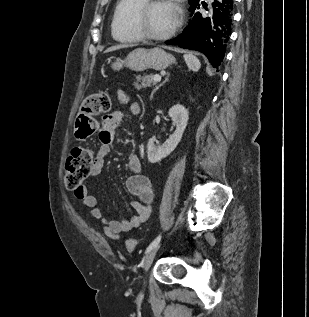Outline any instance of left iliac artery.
I'll use <instances>...</instances> for the list:
<instances>
[{
  "label": "left iliac artery",
  "mask_w": 309,
  "mask_h": 317,
  "mask_svg": "<svg viewBox=\"0 0 309 317\" xmlns=\"http://www.w3.org/2000/svg\"><path fill=\"white\" fill-rule=\"evenodd\" d=\"M161 240V234H159L152 242L151 244L147 247L146 253H148L153 247H155L157 244H159Z\"/></svg>",
  "instance_id": "left-iliac-artery-1"
}]
</instances>
